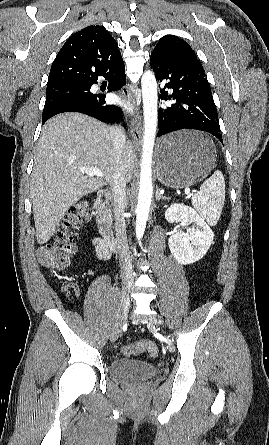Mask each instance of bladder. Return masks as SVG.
Masks as SVG:
<instances>
[{"instance_id":"31cf9c89","label":"bladder","mask_w":269,"mask_h":445,"mask_svg":"<svg viewBox=\"0 0 269 445\" xmlns=\"http://www.w3.org/2000/svg\"><path fill=\"white\" fill-rule=\"evenodd\" d=\"M158 369L153 364L138 360L117 359L111 363L110 373L117 379H141L146 380L154 377Z\"/></svg>"}]
</instances>
